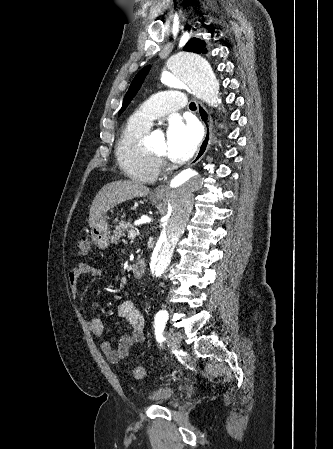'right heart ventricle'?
Wrapping results in <instances>:
<instances>
[{
    "instance_id": "obj_1",
    "label": "right heart ventricle",
    "mask_w": 333,
    "mask_h": 449,
    "mask_svg": "<svg viewBox=\"0 0 333 449\" xmlns=\"http://www.w3.org/2000/svg\"><path fill=\"white\" fill-rule=\"evenodd\" d=\"M149 129L132 117L121 130L115 145V155L120 168L131 179L142 183L153 182L160 171L159 163L143 143Z\"/></svg>"
}]
</instances>
